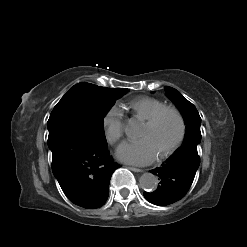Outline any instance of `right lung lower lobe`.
I'll list each match as a JSON object with an SVG mask.
<instances>
[{"instance_id": "right-lung-lower-lobe-1", "label": "right lung lower lobe", "mask_w": 247, "mask_h": 247, "mask_svg": "<svg viewBox=\"0 0 247 247\" xmlns=\"http://www.w3.org/2000/svg\"><path fill=\"white\" fill-rule=\"evenodd\" d=\"M52 171L66 197L86 209L99 208L109 194L112 173L120 167L109 156L107 145L64 129L49 131Z\"/></svg>"}]
</instances>
